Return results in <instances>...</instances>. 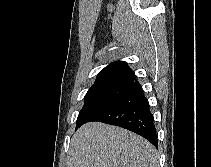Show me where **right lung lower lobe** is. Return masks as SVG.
Listing matches in <instances>:
<instances>
[{"instance_id": "98d812e1", "label": "right lung lower lobe", "mask_w": 211, "mask_h": 167, "mask_svg": "<svg viewBox=\"0 0 211 167\" xmlns=\"http://www.w3.org/2000/svg\"><path fill=\"white\" fill-rule=\"evenodd\" d=\"M90 121H99L128 129L146 138L156 148L158 147L154 117L138 81H133L124 94Z\"/></svg>"}]
</instances>
